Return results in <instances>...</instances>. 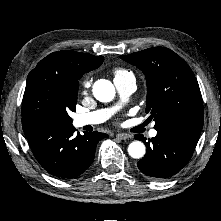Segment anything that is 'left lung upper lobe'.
Masks as SVG:
<instances>
[{
	"mask_svg": "<svg viewBox=\"0 0 221 221\" xmlns=\"http://www.w3.org/2000/svg\"><path fill=\"white\" fill-rule=\"evenodd\" d=\"M146 76V110L156 130L171 126L202 129L203 101L198 82L188 64L164 47L120 56Z\"/></svg>",
	"mask_w": 221,
	"mask_h": 221,
	"instance_id": "5c2ea615",
	"label": "left lung upper lobe"
}]
</instances>
